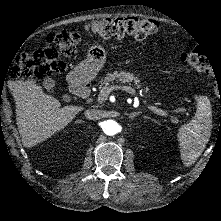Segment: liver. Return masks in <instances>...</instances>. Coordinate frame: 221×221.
I'll use <instances>...</instances> for the list:
<instances>
[{
    "instance_id": "obj_1",
    "label": "liver",
    "mask_w": 221,
    "mask_h": 221,
    "mask_svg": "<svg viewBox=\"0 0 221 221\" xmlns=\"http://www.w3.org/2000/svg\"><path fill=\"white\" fill-rule=\"evenodd\" d=\"M16 105V124L24 147H33L64 129L83 110L65 106L43 92L35 81H16L11 86Z\"/></svg>"
}]
</instances>
